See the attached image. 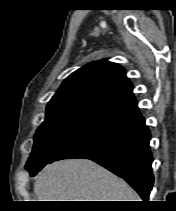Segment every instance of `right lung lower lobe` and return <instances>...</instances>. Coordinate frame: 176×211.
I'll return each mask as SVG.
<instances>
[{
  "label": "right lung lower lobe",
  "instance_id": "obj_1",
  "mask_svg": "<svg viewBox=\"0 0 176 211\" xmlns=\"http://www.w3.org/2000/svg\"><path fill=\"white\" fill-rule=\"evenodd\" d=\"M150 137L145 119L136 109L99 122L48 163L66 158L91 159L123 178L147 202L154 181Z\"/></svg>",
  "mask_w": 176,
  "mask_h": 211
}]
</instances>
